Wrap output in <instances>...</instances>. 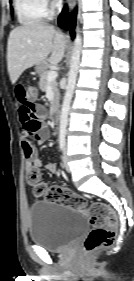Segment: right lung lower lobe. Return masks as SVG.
Returning a JSON list of instances; mask_svg holds the SVG:
<instances>
[{"mask_svg":"<svg viewBox=\"0 0 134 281\" xmlns=\"http://www.w3.org/2000/svg\"><path fill=\"white\" fill-rule=\"evenodd\" d=\"M75 18H76V10H74L73 13L68 14L67 13V8L65 6V8L62 10V13L60 14L59 18H58V23L61 27L68 29L69 27L71 28L70 34L72 36V38H74L75 34H74V27H75Z\"/></svg>","mask_w":134,"mask_h":281,"instance_id":"98d812e1","label":"right lung lower lobe"}]
</instances>
